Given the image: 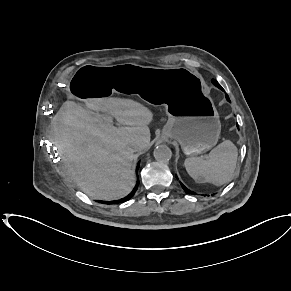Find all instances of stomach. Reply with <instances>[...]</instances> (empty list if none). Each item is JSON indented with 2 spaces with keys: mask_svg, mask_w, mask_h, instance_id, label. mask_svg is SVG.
Here are the masks:
<instances>
[{
  "mask_svg": "<svg viewBox=\"0 0 291 291\" xmlns=\"http://www.w3.org/2000/svg\"><path fill=\"white\" fill-rule=\"evenodd\" d=\"M69 93L83 100L137 93L148 102L163 104L168 121L162 135L177 140L186 155L211 149L221 132L218 112L202 76L186 67L85 66L72 79Z\"/></svg>",
  "mask_w": 291,
  "mask_h": 291,
  "instance_id": "1",
  "label": "stomach"
}]
</instances>
